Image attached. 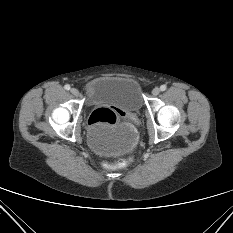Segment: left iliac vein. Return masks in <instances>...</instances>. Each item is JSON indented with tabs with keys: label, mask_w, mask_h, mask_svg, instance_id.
<instances>
[{
	"label": "left iliac vein",
	"mask_w": 233,
	"mask_h": 233,
	"mask_svg": "<svg viewBox=\"0 0 233 233\" xmlns=\"http://www.w3.org/2000/svg\"><path fill=\"white\" fill-rule=\"evenodd\" d=\"M151 93L153 96H157L160 93V89L158 87H155Z\"/></svg>",
	"instance_id": "obj_1"
}]
</instances>
